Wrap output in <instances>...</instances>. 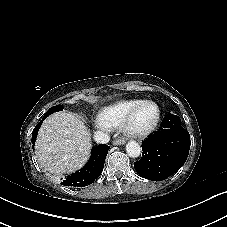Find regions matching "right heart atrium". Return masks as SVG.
<instances>
[{
  "label": "right heart atrium",
  "mask_w": 227,
  "mask_h": 227,
  "mask_svg": "<svg viewBox=\"0 0 227 227\" xmlns=\"http://www.w3.org/2000/svg\"><path fill=\"white\" fill-rule=\"evenodd\" d=\"M107 128H108L107 126H103V125L102 126H99V129L102 130V131L103 130H106Z\"/></svg>",
  "instance_id": "right-heart-atrium-1"
}]
</instances>
